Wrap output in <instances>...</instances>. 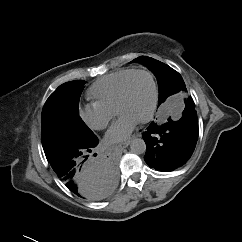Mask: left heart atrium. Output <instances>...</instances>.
<instances>
[{"instance_id":"left-heart-atrium-1","label":"left heart atrium","mask_w":242,"mask_h":242,"mask_svg":"<svg viewBox=\"0 0 242 242\" xmlns=\"http://www.w3.org/2000/svg\"><path fill=\"white\" fill-rule=\"evenodd\" d=\"M138 121L128 115H120L119 119L112 125L106 134L109 143L125 141L133 132Z\"/></svg>"}]
</instances>
